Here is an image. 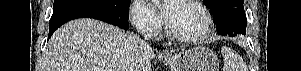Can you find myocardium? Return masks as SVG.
I'll return each mask as SVG.
<instances>
[{"instance_id": "f54148a6", "label": "myocardium", "mask_w": 301, "mask_h": 71, "mask_svg": "<svg viewBox=\"0 0 301 71\" xmlns=\"http://www.w3.org/2000/svg\"><path fill=\"white\" fill-rule=\"evenodd\" d=\"M186 4L195 8L203 17L204 27L195 35H183L174 31L168 24L166 25V31L168 35L176 41L188 44L199 43L205 40L212 31V17L207 9L198 1L184 0Z\"/></svg>"}]
</instances>
